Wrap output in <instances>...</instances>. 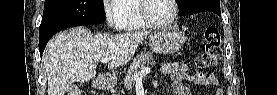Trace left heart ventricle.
Segmentation results:
<instances>
[{
  "mask_svg": "<svg viewBox=\"0 0 277 95\" xmlns=\"http://www.w3.org/2000/svg\"><path fill=\"white\" fill-rule=\"evenodd\" d=\"M170 0H148L146 5L147 15L156 21H165L172 14Z\"/></svg>",
  "mask_w": 277,
  "mask_h": 95,
  "instance_id": "left-heart-ventricle-1",
  "label": "left heart ventricle"
}]
</instances>
